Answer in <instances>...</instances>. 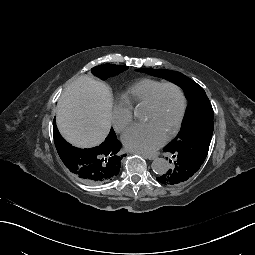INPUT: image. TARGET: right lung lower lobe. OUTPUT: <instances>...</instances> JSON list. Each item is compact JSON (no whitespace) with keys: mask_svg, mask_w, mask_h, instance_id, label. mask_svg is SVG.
Segmentation results:
<instances>
[{"mask_svg":"<svg viewBox=\"0 0 255 255\" xmlns=\"http://www.w3.org/2000/svg\"><path fill=\"white\" fill-rule=\"evenodd\" d=\"M79 163L83 167L85 177H98L100 175V154L81 150L79 152Z\"/></svg>","mask_w":255,"mask_h":255,"instance_id":"right-lung-lower-lobe-1","label":"right lung lower lobe"}]
</instances>
